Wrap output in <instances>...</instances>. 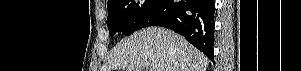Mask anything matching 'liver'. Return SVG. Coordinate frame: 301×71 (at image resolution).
<instances>
[{
  "label": "liver",
  "mask_w": 301,
  "mask_h": 71,
  "mask_svg": "<svg viewBox=\"0 0 301 71\" xmlns=\"http://www.w3.org/2000/svg\"><path fill=\"white\" fill-rule=\"evenodd\" d=\"M208 58L179 34L160 27L121 40L101 71H206Z\"/></svg>",
  "instance_id": "obj_1"
}]
</instances>
